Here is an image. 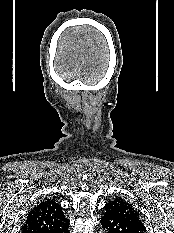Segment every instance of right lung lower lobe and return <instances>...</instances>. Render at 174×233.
I'll use <instances>...</instances> for the list:
<instances>
[{
    "label": "right lung lower lobe",
    "mask_w": 174,
    "mask_h": 233,
    "mask_svg": "<svg viewBox=\"0 0 174 233\" xmlns=\"http://www.w3.org/2000/svg\"><path fill=\"white\" fill-rule=\"evenodd\" d=\"M68 226H69V223L58 229L51 231L50 233H69Z\"/></svg>",
    "instance_id": "98d812e1"
}]
</instances>
